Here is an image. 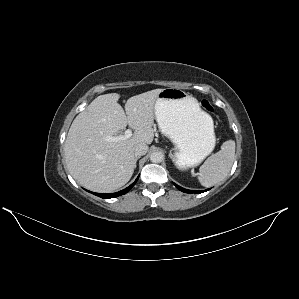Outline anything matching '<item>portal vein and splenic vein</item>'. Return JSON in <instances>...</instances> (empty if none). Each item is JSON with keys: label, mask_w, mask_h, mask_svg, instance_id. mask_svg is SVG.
Wrapping results in <instances>:
<instances>
[{"label": "portal vein and splenic vein", "mask_w": 299, "mask_h": 299, "mask_svg": "<svg viewBox=\"0 0 299 299\" xmlns=\"http://www.w3.org/2000/svg\"><path fill=\"white\" fill-rule=\"evenodd\" d=\"M132 136V130L127 129L123 135L119 136H107L105 137V140L108 142H120L126 139H129Z\"/></svg>", "instance_id": "1"}]
</instances>
